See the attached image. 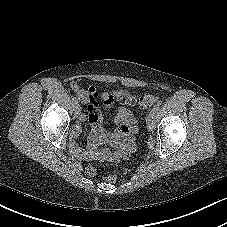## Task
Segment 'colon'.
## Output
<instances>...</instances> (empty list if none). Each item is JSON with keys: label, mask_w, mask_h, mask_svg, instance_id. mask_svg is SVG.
Returning <instances> with one entry per match:
<instances>
[{"label": "colon", "mask_w": 227, "mask_h": 227, "mask_svg": "<svg viewBox=\"0 0 227 227\" xmlns=\"http://www.w3.org/2000/svg\"><path fill=\"white\" fill-rule=\"evenodd\" d=\"M113 96H114V100L117 103L128 104V103L131 102V95L129 93H127L126 91H117V92L113 93ZM158 101H159V99H158L157 96L151 95V94H145V95H142L138 99V106H139V108H141L143 110L149 109ZM86 171L89 175H95L96 174V169L91 165L87 166ZM130 171L131 170L129 168H125V169H122L118 174L109 175L106 179H107L108 182L114 183V182L117 181L119 174H127Z\"/></svg>", "instance_id": "obj_1"}]
</instances>
